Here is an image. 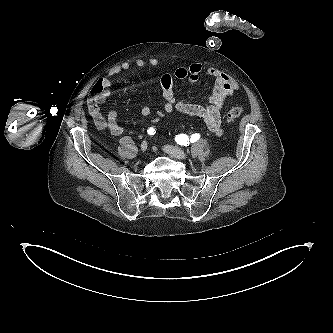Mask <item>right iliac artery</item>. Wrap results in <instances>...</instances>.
<instances>
[{
  "instance_id": "right-iliac-artery-1",
  "label": "right iliac artery",
  "mask_w": 333,
  "mask_h": 333,
  "mask_svg": "<svg viewBox=\"0 0 333 333\" xmlns=\"http://www.w3.org/2000/svg\"><path fill=\"white\" fill-rule=\"evenodd\" d=\"M147 133L149 135H154L156 133V130L153 128V127H150L148 130H147Z\"/></svg>"
}]
</instances>
